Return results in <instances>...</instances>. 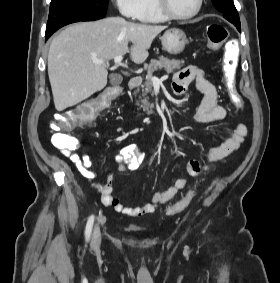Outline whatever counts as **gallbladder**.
Wrapping results in <instances>:
<instances>
[{
  "label": "gallbladder",
  "instance_id": "1",
  "mask_svg": "<svg viewBox=\"0 0 280 283\" xmlns=\"http://www.w3.org/2000/svg\"><path fill=\"white\" fill-rule=\"evenodd\" d=\"M122 82V78L119 75L111 74L110 83L112 86H118Z\"/></svg>",
  "mask_w": 280,
  "mask_h": 283
}]
</instances>
